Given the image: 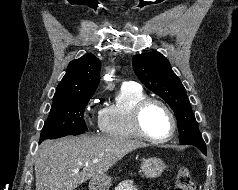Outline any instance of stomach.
Segmentation results:
<instances>
[{"label":"stomach","instance_id":"obj_1","mask_svg":"<svg viewBox=\"0 0 238 190\" xmlns=\"http://www.w3.org/2000/svg\"><path fill=\"white\" fill-rule=\"evenodd\" d=\"M165 169V163L155 157L145 159L141 164V170L145 177L154 179L159 177ZM112 185V178L108 175H101L93 178L89 187L90 190H109Z\"/></svg>","mask_w":238,"mask_h":190}]
</instances>
